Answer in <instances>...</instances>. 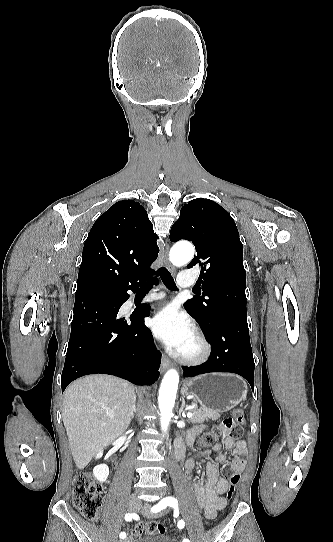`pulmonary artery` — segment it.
<instances>
[{
  "label": "pulmonary artery",
  "mask_w": 333,
  "mask_h": 542,
  "mask_svg": "<svg viewBox=\"0 0 333 542\" xmlns=\"http://www.w3.org/2000/svg\"><path fill=\"white\" fill-rule=\"evenodd\" d=\"M184 273H180L178 275V279L176 280V287L177 288H184V289H188L191 287L192 285V282L194 281V276H193V268L192 267H185L184 268ZM163 298L166 296L164 293L161 295Z\"/></svg>",
  "instance_id": "obj_1"
}]
</instances>
